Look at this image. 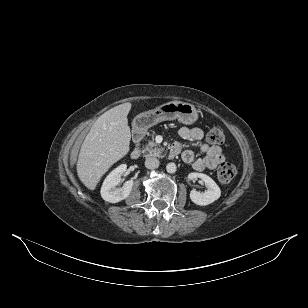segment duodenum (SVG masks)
Segmentation results:
<instances>
[{
    "instance_id": "duodenum-1",
    "label": "duodenum",
    "mask_w": 308,
    "mask_h": 308,
    "mask_svg": "<svg viewBox=\"0 0 308 308\" xmlns=\"http://www.w3.org/2000/svg\"><path fill=\"white\" fill-rule=\"evenodd\" d=\"M144 133H145V128L144 126L142 125H137L135 128H134V131H133V140L134 142L138 143L141 141V139L143 138L144 136ZM178 154V148L175 144H173L170 148V156H175ZM141 155V150L136 147L135 149L132 150V152L130 153V157L133 159V160H136L140 157Z\"/></svg>"
}]
</instances>
